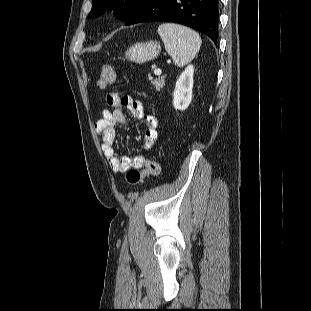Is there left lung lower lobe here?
<instances>
[{
	"instance_id": "0a47b994",
	"label": "left lung lower lobe",
	"mask_w": 311,
	"mask_h": 311,
	"mask_svg": "<svg viewBox=\"0 0 311 311\" xmlns=\"http://www.w3.org/2000/svg\"><path fill=\"white\" fill-rule=\"evenodd\" d=\"M218 16V0H141L123 21L126 25L156 21L179 23L206 34L216 44Z\"/></svg>"
}]
</instances>
